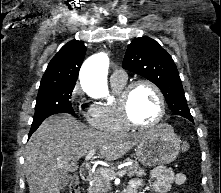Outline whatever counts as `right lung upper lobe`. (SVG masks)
<instances>
[{
  "instance_id": "cb5924a9",
  "label": "right lung upper lobe",
  "mask_w": 221,
  "mask_h": 193,
  "mask_svg": "<svg viewBox=\"0 0 221 193\" xmlns=\"http://www.w3.org/2000/svg\"><path fill=\"white\" fill-rule=\"evenodd\" d=\"M85 53V45L78 40L65 44L48 64L40 88L75 85Z\"/></svg>"
}]
</instances>
